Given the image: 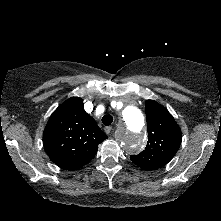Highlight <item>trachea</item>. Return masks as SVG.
<instances>
[{"mask_svg": "<svg viewBox=\"0 0 221 221\" xmlns=\"http://www.w3.org/2000/svg\"><path fill=\"white\" fill-rule=\"evenodd\" d=\"M112 122H113V117L111 115H105L102 117V123L105 126L111 125Z\"/></svg>", "mask_w": 221, "mask_h": 221, "instance_id": "obj_1", "label": "trachea"}]
</instances>
